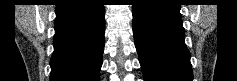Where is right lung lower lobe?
<instances>
[{
	"instance_id": "98d812e1",
	"label": "right lung lower lobe",
	"mask_w": 237,
	"mask_h": 81,
	"mask_svg": "<svg viewBox=\"0 0 237 81\" xmlns=\"http://www.w3.org/2000/svg\"><path fill=\"white\" fill-rule=\"evenodd\" d=\"M50 81H98L105 10L99 0H62L56 5Z\"/></svg>"
}]
</instances>
